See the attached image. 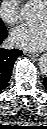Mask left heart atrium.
I'll list each match as a JSON object with an SVG mask.
<instances>
[{"mask_svg": "<svg viewBox=\"0 0 47 129\" xmlns=\"http://www.w3.org/2000/svg\"><path fill=\"white\" fill-rule=\"evenodd\" d=\"M47 25L45 22L24 23L11 32L12 43L27 50H41L46 46Z\"/></svg>", "mask_w": 47, "mask_h": 129, "instance_id": "1", "label": "left heart atrium"}]
</instances>
